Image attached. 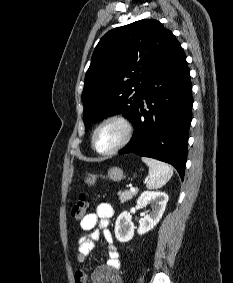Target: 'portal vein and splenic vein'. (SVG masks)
<instances>
[{
  "label": "portal vein and splenic vein",
  "mask_w": 233,
  "mask_h": 283,
  "mask_svg": "<svg viewBox=\"0 0 233 283\" xmlns=\"http://www.w3.org/2000/svg\"><path fill=\"white\" fill-rule=\"evenodd\" d=\"M130 191L135 192L136 189H135L134 187H131V188H130Z\"/></svg>",
  "instance_id": "18ae733b"
}]
</instances>
